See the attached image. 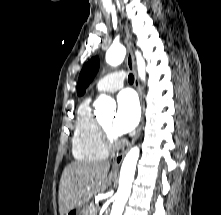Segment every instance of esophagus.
<instances>
[{
  "label": "esophagus",
  "mask_w": 221,
  "mask_h": 215,
  "mask_svg": "<svg viewBox=\"0 0 221 215\" xmlns=\"http://www.w3.org/2000/svg\"><path fill=\"white\" fill-rule=\"evenodd\" d=\"M126 47H127L126 64H127L128 69L131 70L134 74V78H135L134 85H135V88L137 90V93H138V96H139V99H140L142 116H141L139 126L136 130V133H135L132 141L129 143V145L125 149H123L120 153L117 154V156L115 157V159L113 160V163H112L113 167H119L121 165L127 151L129 150V148L133 145V143L138 138V136L140 134V131H141V128H142V125H143V122H144V116H143L144 104H143L142 92H141V87H140L139 80H138V77H137V72H136V69H135L134 56H133V53H132V43H131V40H130L129 33L127 31H126Z\"/></svg>",
  "instance_id": "34e87169"
}]
</instances>
